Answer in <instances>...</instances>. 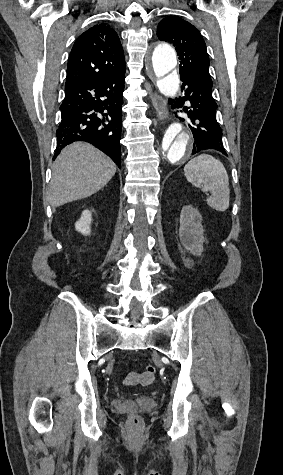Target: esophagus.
I'll return each mask as SVG.
<instances>
[{
    "instance_id": "34e87169",
    "label": "esophagus",
    "mask_w": 283,
    "mask_h": 475,
    "mask_svg": "<svg viewBox=\"0 0 283 475\" xmlns=\"http://www.w3.org/2000/svg\"><path fill=\"white\" fill-rule=\"evenodd\" d=\"M152 103L154 105V108L156 110L157 116L161 119L164 120L167 118L168 115V110H167V102L164 100L161 95L154 93L153 98H152Z\"/></svg>"
}]
</instances>
